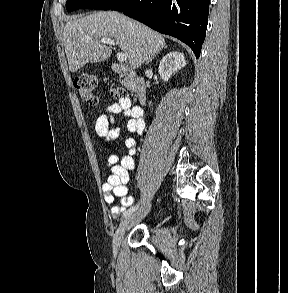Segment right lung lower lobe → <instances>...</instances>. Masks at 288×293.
Listing matches in <instances>:
<instances>
[{
	"mask_svg": "<svg viewBox=\"0 0 288 293\" xmlns=\"http://www.w3.org/2000/svg\"><path fill=\"white\" fill-rule=\"evenodd\" d=\"M209 3L210 0H122L110 9L178 38L198 58L205 39Z\"/></svg>",
	"mask_w": 288,
	"mask_h": 293,
	"instance_id": "obj_1",
	"label": "right lung lower lobe"
}]
</instances>
